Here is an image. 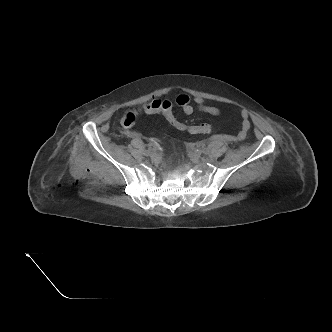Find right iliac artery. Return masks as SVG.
Here are the masks:
<instances>
[{"instance_id": "right-iliac-artery-1", "label": "right iliac artery", "mask_w": 332, "mask_h": 332, "mask_svg": "<svg viewBox=\"0 0 332 332\" xmlns=\"http://www.w3.org/2000/svg\"><path fill=\"white\" fill-rule=\"evenodd\" d=\"M153 149V144L152 143H149L146 145V149H145V152L146 151H149V150H152Z\"/></svg>"}]
</instances>
